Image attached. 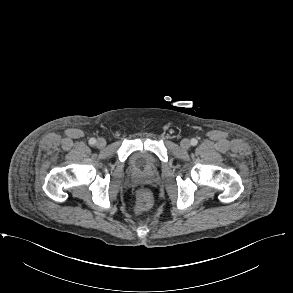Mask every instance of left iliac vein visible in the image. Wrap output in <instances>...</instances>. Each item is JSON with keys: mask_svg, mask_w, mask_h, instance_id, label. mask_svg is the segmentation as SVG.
<instances>
[{"mask_svg": "<svg viewBox=\"0 0 293 293\" xmlns=\"http://www.w3.org/2000/svg\"><path fill=\"white\" fill-rule=\"evenodd\" d=\"M180 146L182 149H189L190 146H191V142L188 140V139H183L181 142H180Z\"/></svg>", "mask_w": 293, "mask_h": 293, "instance_id": "left-iliac-vein-1", "label": "left iliac vein"}]
</instances>
